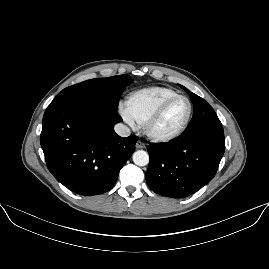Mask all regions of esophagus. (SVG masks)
<instances>
[{"label":"esophagus","mask_w":269,"mask_h":269,"mask_svg":"<svg viewBox=\"0 0 269 269\" xmlns=\"http://www.w3.org/2000/svg\"><path fill=\"white\" fill-rule=\"evenodd\" d=\"M136 148H138V149H140V148H146V144L144 143V142H142V141H137V143H136Z\"/></svg>","instance_id":"obj_1"}]
</instances>
